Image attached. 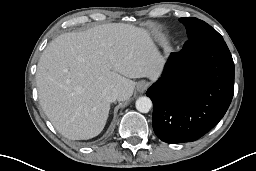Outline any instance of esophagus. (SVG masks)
Returning a JSON list of instances; mask_svg holds the SVG:
<instances>
[{
    "mask_svg": "<svg viewBox=\"0 0 256 171\" xmlns=\"http://www.w3.org/2000/svg\"><path fill=\"white\" fill-rule=\"evenodd\" d=\"M149 84L146 81H141L137 84V89L140 92L145 91L148 88Z\"/></svg>",
    "mask_w": 256,
    "mask_h": 171,
    "instance_id": "34e87169",
    "label": "esophagus"
}]
</instances>
